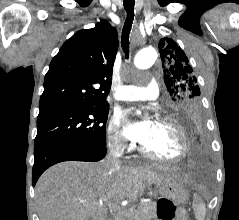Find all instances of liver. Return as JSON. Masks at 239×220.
<instances>
[{
  "label": "liver",
  "mask_w": 239,
  "mask_h": 220,
  "mask_svg": "<svg viewBox=\"0 0 239 220\" xmlns=\"http://www.w3.org/2000/svg\"><path fill=\"white\" fill-rule=\"evenodd\" d=\"M189 184L184 174H160L142 167L66 161L46 170L35 187L40 220H107L106 206L135 202L148 185Z\"/></svg>",
  "instance_id": "obj_1"
}]
</instances>
